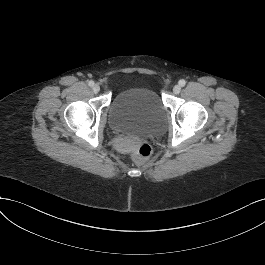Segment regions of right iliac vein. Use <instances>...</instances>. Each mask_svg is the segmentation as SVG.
Masks as SVG:
<instances>
[{
  "label": "right iliac vein",
  "mask_w": 265,
  "mask_h": 265,
  "mask_svg": "<svg viewBox=\"0 0 265 265\" xmlns=\"http://www.w3.org/2000/svg\"><path fill=\"white\" fill-rule=\"evenodd\" d=\"M92 89L94 93H98L100 91V86L95 84Z\"/></svg>",
  "instance_id": "63e3f726"
}]
</instances>
